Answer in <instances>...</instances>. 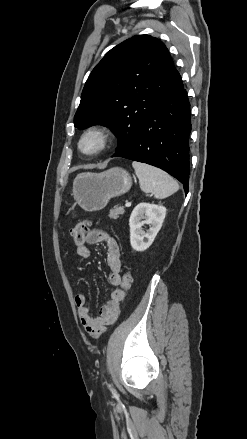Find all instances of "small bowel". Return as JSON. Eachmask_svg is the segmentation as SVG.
<instances>
[{"instance_id":"obj_1","label":"small bowel","mask_w":247,"mask_h":439,"mask_svg":"<svg viewBox=\"0 0 247 439\" xmlns=\"http://www.w3.org/2000/svg\"><path fill=\"white\" fill-rule=\"evenodd\" d=\"M104 242L106 245V262L109 268V281L113 286H121V255L119 245L112 236L100 229H90L85 235V242L77 247V254L83 259L91 257L89 245H96ZM126 293L122 288L113 289L110 292L108 302L101 308L98 315L90 313L87 299L84 294L75 296L79 319L85 331L93 338H99L107 329V326L114 323L120 313V304Z\"/></svg>"}]
</instances>
